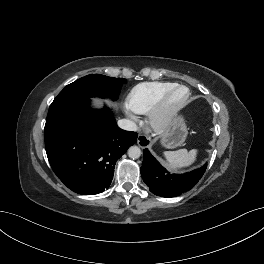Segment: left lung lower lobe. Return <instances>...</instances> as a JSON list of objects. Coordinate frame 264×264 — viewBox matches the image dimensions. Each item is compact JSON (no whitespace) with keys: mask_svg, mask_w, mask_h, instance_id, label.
<instances>
[{"mask_svg":"<svg viewBox=\"0 0 264 264\" xmlns=\"http://www.w3.org/2000/svg\"><path fill=\"white\" fill-rule=\"evenodd\" d=\"M141 167L143 181L150 191L161 197H175L193 188L204 174L207 164L185 174H170L148 151L143 150Z\"/></svg>","mask_w":264,"mask_h":264,"instance_id":"0a47b994","label":"left lung lower lobe"}]
</instances>
